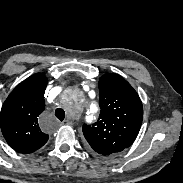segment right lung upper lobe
Listing matches in <instances>:
<instances>
[{"mask_svg": "<svg viewBox=\"0 0 183 183\" xmlns=\"http://www.w3.org/2000/svg\"><path fill=\"white\" fill-rule=\"evenodd\" d=\"M46 86V76L36 73L20 83L2 106L0 126L3 136L19 153L34 152L49 138L38 124V116L45 109Z\"/></svg>", "mask_w": 183, "mask_h": 183, "instance_id": "right-lung-upper-lobe-1", "label": "right lung upper lobe"}]
</instances>
